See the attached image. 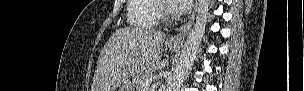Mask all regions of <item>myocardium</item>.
Segmentation results:
<instances>
[{"label":"myocardium","instance_id":"f54148a6","mask_svg":"<svg viewBox=\"0 0 304 91\" xmlns=\"http://www.w3.org/2000/svg\"><path fill=\"white\" fill-rule=\"evenodd\" d=\"M160 15L165 22H168L173 19L174 13L172 11L171 5L169 1H159L158 5Z\"/></svg>","mask_w":304,"mask_h":91}]
</instances>
